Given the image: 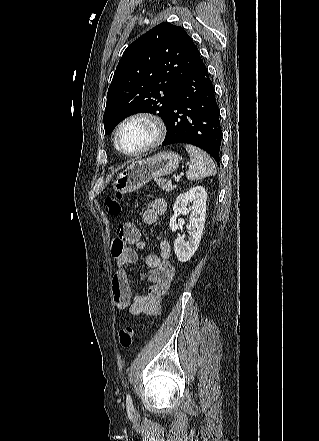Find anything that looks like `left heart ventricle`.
Segmentation results:
<instances>
[{
	"instance_id": "obj_1",
	"label": "left heart ventricle",
	"mask_w": 319,
	"mask_h": 441,
	"mask_svg": "<svg viewBox=\"0 0 319 441\" xmlns=\"http://www.w3.org/2000/svg\"><path fill=\"white\" fill-rule=\"evenodd\" d=\"M153 137V128L144 121H134L127 124L121 134L120 143L127 151H136L145 146Z\"/></svg>"
}]
</instances>
